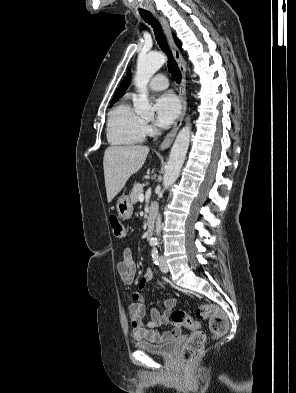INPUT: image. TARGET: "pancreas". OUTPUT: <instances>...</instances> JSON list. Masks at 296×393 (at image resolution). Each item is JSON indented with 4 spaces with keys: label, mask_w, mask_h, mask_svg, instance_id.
I'll return each instance as SVG.
<instances>
[{
    "label": "pancreas",
    "mask_w": 296,
    "mask_h": 393,
    "mask_svg": "<svg viewBox=\"0 0 296 393\" xmlns=\"http://www.w3.org/2000/svg\"><path fill=\"white\" fill-rule=\"evenodd\" d=\"M143 184L137 183L133 186L132 192L130 194L131 202L136 204L139 200V195L143 192Z\"/></svg>",
    "instance_id": "obj_1"
}]
</instances>
